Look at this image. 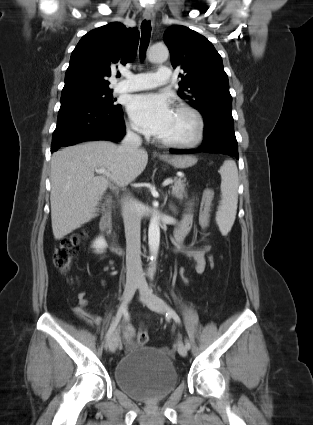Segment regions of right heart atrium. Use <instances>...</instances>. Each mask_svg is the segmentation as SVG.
I'll list each match as a JSON object with an SVG mask.
<instances>
[{"label":"right heart atrium","instance_id":"right-heart-atrium-1","mask_svg":"<svg viewBox=\"0 0 313 425\" xmlns=\"http://www.w3.org/2000/svg\"><path fill=\"white\" fill-rule=\"evenodd\" d=\"M128 132H129L130 134H132V135H134V134H135L134 130H133L131 127H129V128H128Z\"/></svg>","mask_w":313,"mask_h":425}]
</instances>
